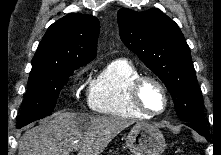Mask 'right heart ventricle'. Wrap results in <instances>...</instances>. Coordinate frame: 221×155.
<instances>
[{
  "mask_svg": "<svg viewBox=\"0 0 221 155\" xmlns=\"http://www.w3.org/2000/svg\"><path fill=\"white\" fill-rule=\"evenodd\" d=\"M141 76L138 69L126 59L108 63L93 79L88 92V104L96 113L123 117L147 118L130 101V86Z\"/></svg>",
  "mask_w": 221,
  "mask_h": 155,
  "instance_id": "right-heart-ventricle-1",
  "label": "right heart ventricle"
}]
</instances>
